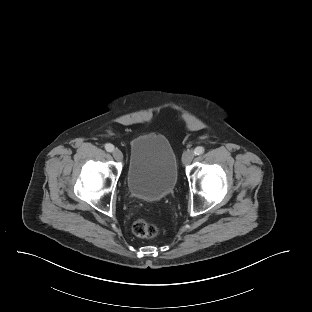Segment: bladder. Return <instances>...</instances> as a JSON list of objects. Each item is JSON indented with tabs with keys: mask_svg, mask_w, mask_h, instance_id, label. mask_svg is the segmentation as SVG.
<instances>
[{
	"mask_svg": "<svg viewBox=\"0 0 312 312\" xmlns=\"http://www.w3.org/2000/svg\"><path fill=\"white\" fill-rule=\"evenodd\" d=\"M129 155L126 184L130 195L158 201L171 194L178 180V167L175 152L165 136H137L130 142Z\"/></svg>",
	"mask_w": 312,
	"mask_h": 312,
	"instance_id": "obj_1",
	"label": "bladder"
}]
</instances>
